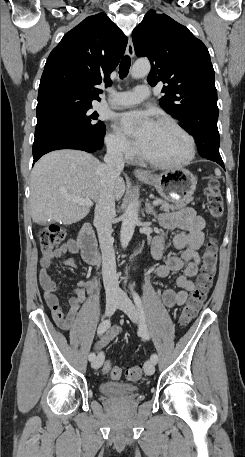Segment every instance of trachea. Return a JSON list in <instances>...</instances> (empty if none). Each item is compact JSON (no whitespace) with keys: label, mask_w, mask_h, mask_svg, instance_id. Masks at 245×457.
<instances>
[{"label":"trachea","mask_w":245,"mask_h":457,"mask_svg":"<svg viewBox=\"0 0 245 457\" xmlns=\"http://www.w3.org/2000/svg\"><path fill=\"white\" fill-rule=\"evenodd\" d=\"M131 60L129 56H125L122 58L119 66V75L120 78H124L127 76L130 68Z\"/></svg>","instance_id":"obj_1"}]
</instances>
